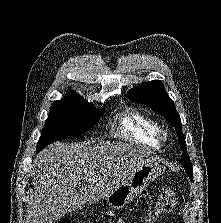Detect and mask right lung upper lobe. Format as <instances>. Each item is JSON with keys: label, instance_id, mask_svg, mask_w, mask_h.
<instances>
[{"label": "right lung upper lobe", "instance_id": "right-lung-upper-lobe-1", "mask_svg": "<svg viewBox=\"0 0 221 223\" xmlns=\"http://www.w3.org/2000/svg\"><path fill=\"white\" fill-rule=\"evenodd\" d=\"M79 102H86L83 98H81L76 93H69L65 96V98L55 101V103H79Z\"/></svg>", "mask_w": 221, "mask_h": 223}]
</instances>
